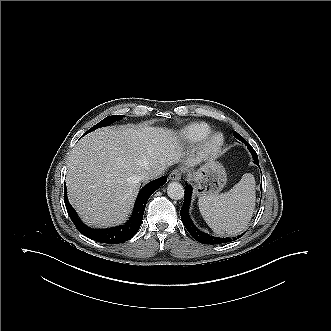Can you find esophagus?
<instances>
[{"instance_id":"34e87169","label":"esophagus","mask_w":331,"mask_h":331,"mask_svg":"<svg viewBox=\"0 0 331 331\" xmlns=\"http://www.w3.org/2000/svg\"><path fill=\"white\" fill-rule=\"evenodd\" d=\"M169 179L172 181H179L181 179V171L179 169H174L170 173Z\"/></svg>"}]
</instances>
